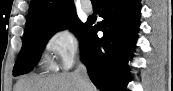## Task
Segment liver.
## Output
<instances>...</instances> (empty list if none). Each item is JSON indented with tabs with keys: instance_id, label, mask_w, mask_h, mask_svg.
I'll return each mask as SVG.
<instances>
[{
	"instance_id": "liver-1",
	"label": "liver",
	"mask_w": 173,
	"mask_h": 91,
	"mask_svg": "<svg viewBox=\"0 0 173 91\" xmlns=\"http://www.w3.org/2000/svg\"><path fill=\"white\" fill-rule=\"evenodd\" d=\"M74 73H61L47 77H24L14 86V91H82ZM86 91H98L89 80Z\"/></svg>"
}]
</instances>
